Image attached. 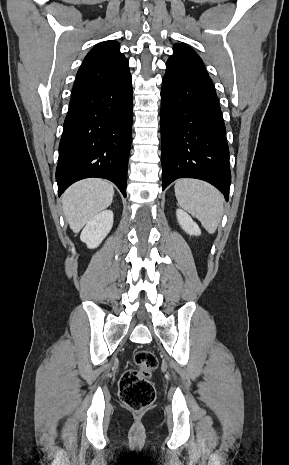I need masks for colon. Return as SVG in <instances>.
I'll use <instances>...</instances> for the list:
<instances>
[{
	"mask_svg": "<svg viewBox=\"0 0 289 465\" xmlns=\"http://www.w3.org/2000/svg\"><path fill=\"white\" fill-rule=\"evenodd\" d=\"M135 368L127 369L120 380L119 396L130 410L142 411L155 400V388L150 377L156 370L158 361L155 354L147 349L134 355Z\"/></svg>",
	"mask_w": 289,
	"mask_h": 465,
	"instance_id": "1",
	"label": "colon"
}]
</instances>
